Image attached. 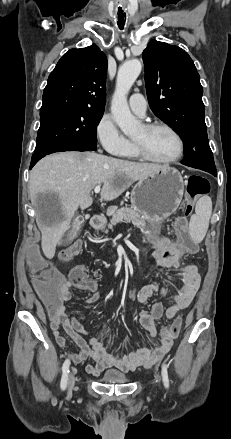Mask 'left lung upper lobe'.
Here are the masks:
<instances>
[{"instance_id": "obj_1", "label": "left lung upper lobe", "mask_w": 231, "mask_h": 439, "mask_svg": "<svg viewBox=\"0 0 231 439\" xmlns=\"http://www.w3.org/2000/svg\"><path fill=\"white\" fill-rule=\"evenodd\" d=\"M143 62L151 110L184 142L181 163L216 170L204 119L203 89L193 60L178 46L151 40L143 51Z\"/></svg>"}]
</instances>
